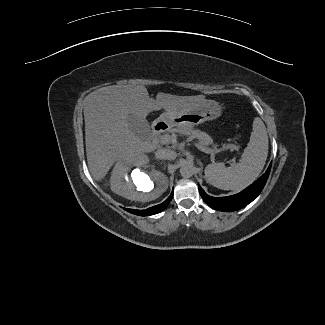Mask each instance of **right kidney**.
Returning <instances> with one entry per match:
<instances>
[{
    "instance_id": "obj_1",
    "label": "right kidney",
    "mask_w": 325,
    "mask_h": 325,
    "mask_svg": "<svg viewBox=\"0 0 325 325\" xmlns=\"http://www.w3.org/2000/svg\"><path fill=\"white\" fill-rule=\"evenodd\" d=\"M110 186L114 193L122 197L147 202L155 200L166 191L168 178L163 173L151 169L148 158L140 157L117 162L111 175Z\"/></svg>"
}]
</instances>
